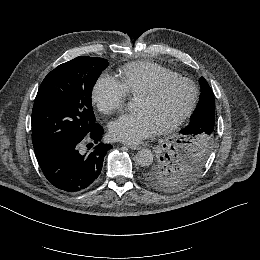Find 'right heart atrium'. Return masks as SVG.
<instances>
[{
  "label": "right heart atrium",
  "mask_w": 260,
  "mask_h": 260,
  "mask_svg": "<svg viewBox=\"0 0 260 260\" xmlns=\"http://www.w3.org/2000/svg\"><path fill=\"white\" fill-rule=\"evenodd\" d=\"M127 97L128 92L123 84L111 74L102 73L93 85L92 100L104 114H111L122 108Z\"/></svg>",
  "instance_id": "d8ad5b80"
}]
</instances>
